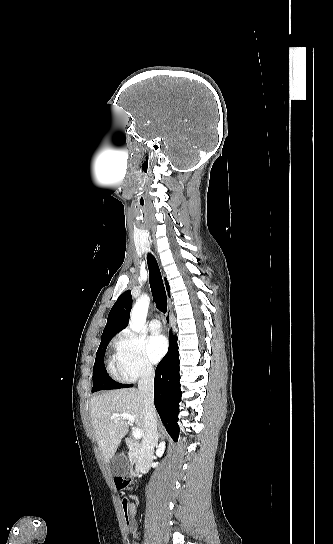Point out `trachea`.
Here are the masks:
<instances>
[{
    "mask_svg": "<svg viewBox=\"0 0 333 544\" xmlns=\"http://www.w3.org/2000/svg\"><path fill=\"white\" fill-rule=\"evenodd\" d=\"M147 263L150 277V288L153 296V301L156 304V308L162 313L167 311V297L165 287L163 284L161 272L155 257L152 254H148Z\"/></svg>",
    "mask_w": 333,
    "mask_h": 544,
    "instance_id": "1",
    "label": "trachea"
}]
</instances>
